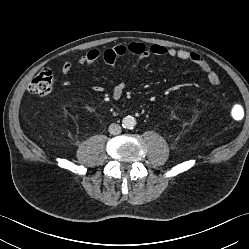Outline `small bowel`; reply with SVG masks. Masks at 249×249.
Instances as JSON below:
<instances>
[{"label":"small bowel","instance_id":"small-bowel-1","mask_svg":"<svg viewBox=\"0 0 249 249\" xmlns=\"http://www.w3.org/2000/svg\"><path fill=\"white\" fill-rule=\"evenodd\" d=\"M125 55H132L136 57L135 63L129 68L131 72L135 65L148 57H168L171 59H178L183 61H190L196 64L203 72L206 73L208 81L211 85L217 86L220 84V79L211 65L198 53L190 52L184 49H177L173 47H165L163 45L154 44L146 47L143 43L133 42L127 45H114L104 50L91 49L86 54L79 58V63L85 68H90L98 59L102 58L104 62L112 69L115 68L117 60ZM73 64L71 61H65L61 65V71L67 75L71 72ZM126 89V84L123 81L117 82L111 90L110 96L113 100H119ZM95 92H102L104 88L100 85L93 87Z\"/></svg>","mask_w":249,"mask_h":249}]
</instances>
